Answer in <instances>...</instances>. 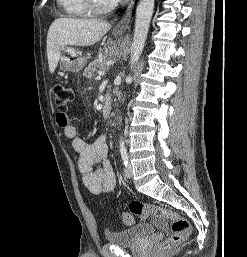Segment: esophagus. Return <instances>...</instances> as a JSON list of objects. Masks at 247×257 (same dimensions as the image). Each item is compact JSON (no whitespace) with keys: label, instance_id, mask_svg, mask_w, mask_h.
<instances>
[{"label":"esophagus","instance_id":"obj_1","mask_svg":"<svg viewBox=\"0 0 247 257\" xmlns=\"http://www.w3.org/2000/svg\"><path fill=\"white\" fill-rule=\"evenodd\" d=\"M134 0H131L130 3L128 4L123 16L119 20V22L116 24L114 27V30L116 32H125L129 28L130 21H131V16H132V9L134 6Z\"/></svg>","mask_w":247,"mask_h":257}]
</instances>
